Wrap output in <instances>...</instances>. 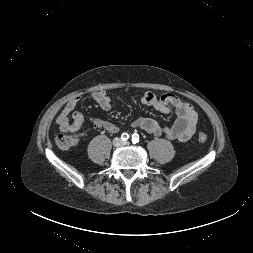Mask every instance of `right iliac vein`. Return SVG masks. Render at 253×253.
<instances>
[{"instance_id":"63e3f726","label":"right iliac vein","mask_w":253,"mask_h":253,"mask_svg":"<svg viewBox=\"0 0 253 253\" xmlns=\"http://www.w3.org/2000/svg\"><path fill=\"white\" fill-rule=\"evenodd\" d=\"M121 144H122V143H121V140L118 139V138H116V139L113 141V145L116 146V147L120 146Z\"/></svg>"}]
</instances>
